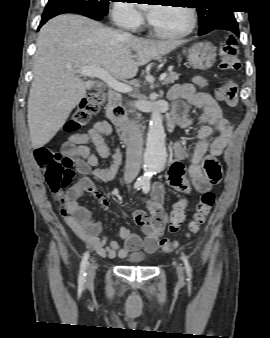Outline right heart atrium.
Wrapping results in <instances>:
<instances>
[{"mask_svg":"<svg viewBox=\"0 0 270 338\" xmlns=\"http://www.w3.org/2000/svg\"><path fill=\"white\" fill-rule=\"evenodd\" d=\"M112 17L121 27L137 29L143 25V16L132 3L122 1L113 6Z\"/></svg>","mask_w":270,"mask_h":338,"instance_id":"obj_1","label":"right heart atrium"}]
</instances>
